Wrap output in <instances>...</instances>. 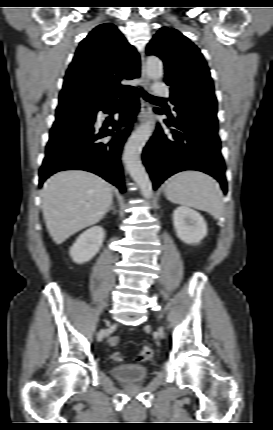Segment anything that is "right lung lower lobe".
Masks as SVG:
<instances>
[{
    "label": "right lung lower lobe",
    "mask_w": 273,
    "mask_h": 430,
    "mask_svg": "<svg viewBox=\"0 0 273 430\" xmlns=\"http://www.w3.org/2000/svg\"><path fill=\"white\" fill-rule=\"evenodd\" d=\"M126 94L127 103L120 112V120L111 124L115 130L121 127V123H132L139 110L136 88L127 90ZM115 101L93 106V121L89 127L49 139L39 172L40 186L58 171L80 169L93 172L117 186L121 192L125 191L120 155L129 131L117 133L110 141L99 142L112 135L113 130L95 125L96 113L100 110L108 112Z\"/></svg>",
    "instance_id": "98d812e1"
}]
</instances>
